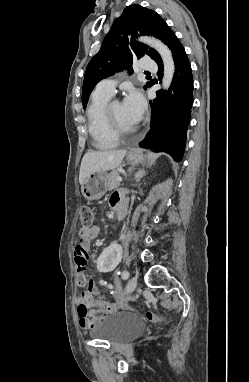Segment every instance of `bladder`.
<instances>
[{
    "instance_id": "bladder-1",
    "label": "bladder",
    "mask_w": 249,
    "mask_h": 382,
    "mask_svg": "<svg viewBox=\"0 0 249 382\" xmlns=\"http://www.w3.org/2000/svg\"><path fill=\"white\" fill-rule=\"evenodd\" d=\"M143 319L135 313H119L105 317L91 330L94 338L112 344L125 342L138 336L144 329Z\"/></svg>"
}]
</instances>
